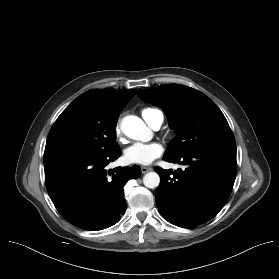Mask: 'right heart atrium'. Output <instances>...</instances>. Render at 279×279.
I'll use <instances>...</instances> for the list:
<instances>
[{
  "instance_id": "d8ad5b80",
  "label": "right heart atrium",
  "mask_w": 279,
  "mask_h": 279,
  "mask_svg": "<svg viewBox=\"0 0 279 279\" xmlns=\"http://www.w3.org/2000/svg\"><path fill=\"white\" fill-rule=\"evenodd\" d=\"M115 135L118 139H121L122 131L119 124H117L115 127Z\"/></svg>"
}]
</instances>
